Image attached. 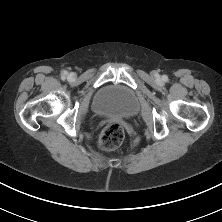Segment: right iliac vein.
Masks as SVG:
<instances>
[{
	"mask_svg": "<svg viewBox=\"0 0 222 222\" xmlns=\"http://www.w3.org/2000/svg\"><path fill=\"white\" fill-rule=\"evenodd\" d=\"M73 77H74V74H70V75H69V78H73Z\"/></svg>",
	"mask_w": 222,
	"mask_h": 222,
	"instance_id": "obj_1",
	"label": "right iliac vein"
}]
</instances>
